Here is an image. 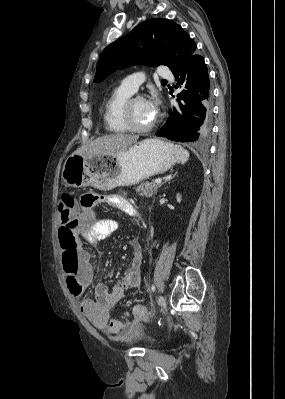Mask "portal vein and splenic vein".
<instances>
[{
    "label": "portal vein and splenic vein",
    "instance_id": "portal-vein-and-splenic-vein-1",
    "mask_svg": "<svg viewBox=\"0 0 285 399\" xmlns=\"http://www.w3.org/2000/svg\"><path fill=\"white\" fill-rule=\"evenodd\" d=\"M161 182H162L161 179H156V180L154 181V183H156V184H160Z\"/></svg>",
    "mask_w": 285,
    "mask_h": 399
}]
</instances>
